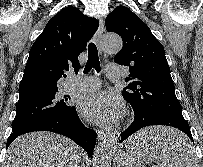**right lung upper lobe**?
Here are the masks:
<instances>
[{
    "mask_svg": "<svg viewBox=\"0 0 203 167\" xmlns=\"http://www.w3.org/2000/svg\"><path fill=\"white\" fill-rule=\"evenodd\" d=\"M95 18L68 6L58 12L31 47L24 75L19 86L22 103L58 91L57 83L64 71H78L79 54L98 28Z\"/></svg>",
    "mask_w": 203,
    "mask_h": 167,
    "instance_id": "cb5924a9",
    "label": "right lung upper lobe"
}]
</instances>
